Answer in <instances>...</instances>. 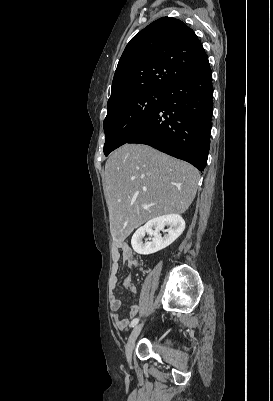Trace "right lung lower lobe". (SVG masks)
Listing matches in <instances>:
<instances>
[{"mask_svg": "<svg viewBox=\"0 0 273 401\" xmlns=\"http://www.w3.org/2000/svg\"><path fill=\"white\" fill-rule=\"evenodd\" d=\"M212 98L207 63L169 86L161 104L126 143L152 146L202 170L209 152Z\"/></svg>", "mask_w": 273, "mask_h": 401, "instance_id": "right-lung-lower-lobe-1", "label": "right lung lower lobe"}]
</instances>
